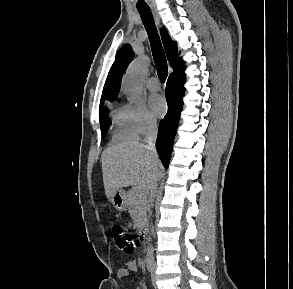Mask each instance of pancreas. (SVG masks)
I'll list each match as a JSON object with an SVG mask.
<instances>
[{"instance_id":"pancreas-1","label":"pancreas","mask_w":293,"mask_h":289,"mask_svg":"<svg viewBox=\"0 0 293 289\" xmlns=\"http://www.w3.org/2000/svg\"><path fill=\"white\" fill-rule=\"evenodd\" d=\"M127 205L134 226L141 228L146 221L147 201L146 195L142 192H136L134 189L127 194Z\"/></svg>"}]
</instances>
